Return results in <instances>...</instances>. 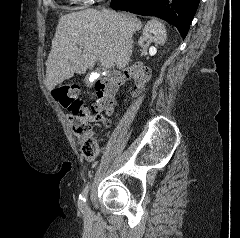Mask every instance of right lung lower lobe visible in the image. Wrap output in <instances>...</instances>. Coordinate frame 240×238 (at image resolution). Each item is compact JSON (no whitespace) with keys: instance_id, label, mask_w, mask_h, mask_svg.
I'll return each instance as SVG.
<instances>
[{"instance_id":"obj_1","label":"right lung lower lobe","mask_w":240,"mask_h":238,"mask_svg":"<svg viewBox=\"0 0 240 238\" xmlns=\"http://www.w3.org/2000/svg\"><path fill=\"white\" fill-rule=\"evenodd\" d=\"M111 8L156 16L174 24L185 38L200 0H111Z\"/></svg>"}]
</instances>
